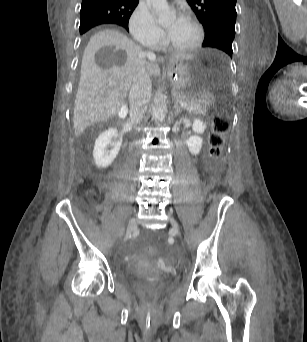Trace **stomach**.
I'll return each mask as SVG.
<instances>
[{
    "label": "stomach",
    "mask_w": 307,
    "mask_h": 342,
    "mask_svg": "<svg viewBox=\"0 0 307 342\" xmlns=\"http://www.w3.org/2000/svg\"><path fill=\"white\" fill-rule=\"evenodd\" d=\"M198 67V61L194 58H186L171 63L167 69L174 93L186 99L195 100L198 96L195 91V72Z\"/></svg>",
    "instance_id": "stomach-1"
}]
</instances>
